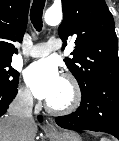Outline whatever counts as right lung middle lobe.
Segmentation results:
<instances>
[{"label": "right lung middle lobe", "instance_id": "obj_1", "mask_svg": "<svg viewBox=\"0 0 119 141\" xmlns=\"http://www.w3.org/2000/svg\"><path fill=\"white\" fill-rule=\"evenodd\" d=\"M12 59H0V90L11 91L18 85L19 72L11 67Z\"/></svg>", "mask_w": 119, "mask_h": 141}]
</instances>
